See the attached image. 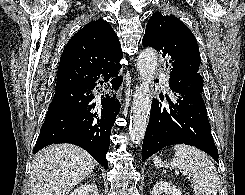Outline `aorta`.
I'll return each instance as SVG.
<instances>
[{"instance_id": "762f6f07", "label": "aorta", "mask_w": 245, "mask_h": 195, "mask_svg": "<svg viewBox=\"0 0 245 195\" xmlns=\"http://www.w3.org/2000/svg\"><path fill=\"white\" fill-rule=\"evenodd\" d=\"M157 65V55L154 49H144L138 56L137 69L139 72V85L135 90L132 104L131 125L129 129L130 140L137 145L143 139L151 106V82Z\"/></svg>"}]
</instances>
